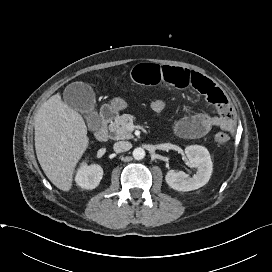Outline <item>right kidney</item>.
<instances>
[{
	"instance_id": "obj_1",
	"label": "right kidney",
	"mask_w": 272,
	"mask_h": 272,
	"mask_svg": "<svg viewBox=\"0 0 272 272\" xmlns=\"http://www.w3.org/2000/svg\"><path fill=\"white\" fill-rule=\"evenodd\" d=\"M103 176V169L99 165L82 163L77 171L75 181L82 189L91 190L98 186Z\"/></svg>"
}]
</instances>
